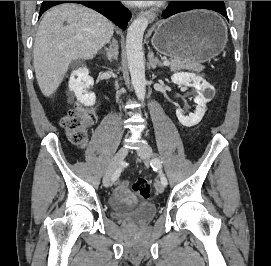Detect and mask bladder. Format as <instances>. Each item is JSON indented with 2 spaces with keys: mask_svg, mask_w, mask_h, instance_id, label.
Returning <instances> with one entry per match:
<instances>
[{
  "mask_svg": "<svg viewBox=\"0 0 271 266\" xmlns=\"http://www.w3.org/2000/svg\"><path fill=\"white\" fill-rule=\"evenodd\" d=\"M113 212L115 215L125 221L143 225L149 222L155 217L157 213L156 206L149 202H142L137 206L131 208L127 212H120L118 209L114 208Z\"/></svg>",
  "mask_w": 271,
  "mask_h": 266,
  "instance_id": "1",
  "label": "bladder"
}]
</instances>
